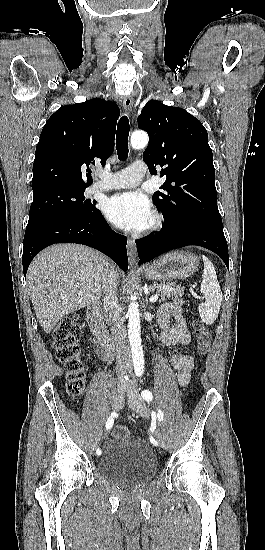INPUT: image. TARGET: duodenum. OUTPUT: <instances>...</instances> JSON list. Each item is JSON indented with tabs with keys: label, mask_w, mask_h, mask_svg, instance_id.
I'll return each mask as SVG.
<instances>
[{
	"label": "duodenum",
	"mask_w": 265,
	"mask_h": 550,
	"mask_svg": "<svg viewBox=\"0 0 265 550\" xmlns=\"http://www.w3.org/2000/svg\"><path fill=\"white\" fill-rule=\"evenodd\" d=\"M100 305L91 304L87 310V321L94 337V343L97 348L103 351H109L115 348V341L108 335L100 318Z\"/></svg>",
	"instance_id": "1"
}]
</instances>
